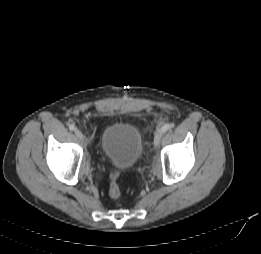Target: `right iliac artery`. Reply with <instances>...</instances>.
Instances as JSON below:
<instances>
[{
    "label": "right iliac artery",
    "instance_id": "obj_1",
    "mask_svg": "<svg viewBox=\"0 0 261 254\" xmlns=\"http://www.w3.org/2000/svg\"><path fill=\"white\" fill-rule=\"evenodd\" d=\"M69 129H70L71 131H73V130L75 129V126H74L73 124H70V125H69Z\"/></svg>",
    "mask_w": 261,
    "mask_h": 254
}]
</instances>
